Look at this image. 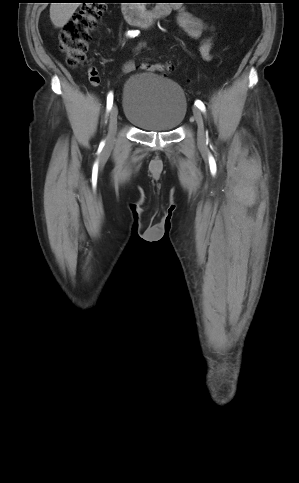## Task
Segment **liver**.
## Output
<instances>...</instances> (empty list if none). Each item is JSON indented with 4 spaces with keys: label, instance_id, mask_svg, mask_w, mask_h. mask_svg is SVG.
<instances>
[{
    "label": "liver",
    "instance_id": "1",
    "mask_svg": "<svg viewBox=\"0 0 299 483\" xmlns=\"http://www.w3.org/2000/svg\"><path fill=\"white\" fill-rule=\"evenodd\" d=\"M80 3H51L50 19L55 27L62 28L72 17Z\"/></svg>",
    "mask_w": 299,
    "mask_h": 483
}]
</instances>
